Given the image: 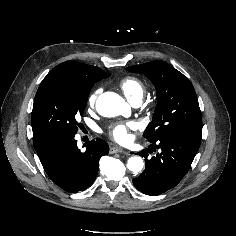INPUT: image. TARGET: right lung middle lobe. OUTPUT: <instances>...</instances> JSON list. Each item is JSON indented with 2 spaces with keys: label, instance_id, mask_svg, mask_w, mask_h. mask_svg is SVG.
<instances>
[{
  "label": "right lung middle lobe",
  "instance_id": "1",
  "mask_svg": "<svg viewBox=\"0 0 236 236\" xmlns=\"http://www.w3.org/2000/svg\"><path fill=\"white\" fill-rule=\"evenodd\" d=\"M93 86H84L61 74H48L37 90L31 124L33 136L75 135L88 95Z\"/></svg>",
  "mask_w": 236,
  "mask_h": 236
}]
</instances>
